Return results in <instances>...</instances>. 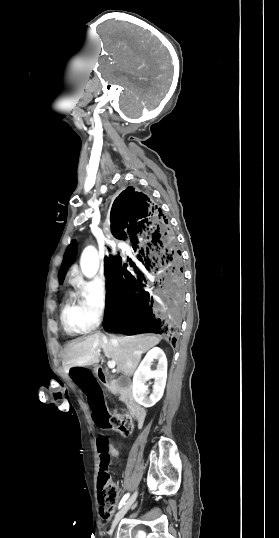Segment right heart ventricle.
<instances>
[{
	"instance_id": "obj_1",
	"label": "right heart ventricle",
	"mask_w": 279,
	"mask_h": 538,
	"mask_svg": "<svg viewBox=\"0 0 279 538\" xmlns=\"http://www.w3.org/2000/svg\"><path fill=\"white\" fill-rule=\"evenodd\" d=\"M55 228L63 239H69L71 235L70 227L63 229V222L58 209L54 214L52 221L49 219V228ZM92 229V227H89ZM61 322L65 331L70 334L83 333L88 330V326L84 317V302L82 299H77L70 295L61 310Z\"/></svg>"
}]
</instances>
